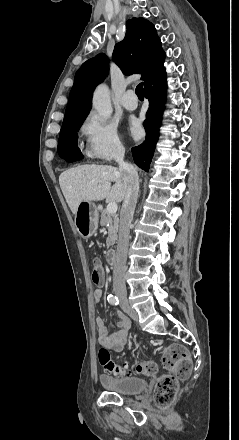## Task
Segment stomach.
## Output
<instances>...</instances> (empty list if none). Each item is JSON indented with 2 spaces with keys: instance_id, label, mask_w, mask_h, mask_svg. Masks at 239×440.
Listing matches in <instances>:
<instances>
[{
  "instance_id": "stomach-1",
  "label": "stomach",
  "mask_w": 239,
  "mask_h": 440,
  "mask_svg": "<svg viewBox=\"0 0 239 440\" xmlns=\"http://www.w3.org/2000/svg\"><path fill=\"white\" fill-rule=\"evenodd\" d=\"M99 212L94 202H80L75 214V228L82 238H91L98 228Z\"/></svg>"
}]
</instances>
